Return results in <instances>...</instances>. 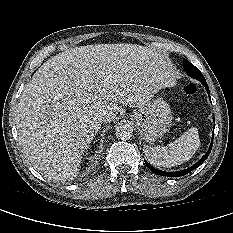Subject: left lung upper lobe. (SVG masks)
<instances>
[{
	"mask_svg": "<svg viewBox=\"0 0 233 233\" xmlns=\"http://www.w3.org/2000/svg\"><path fill=\"white\" fill-rule=\"evenodd\" d=\"M183 65L186 73L192 78H195L199 81L205 79L202 73L199 71V69L195 67L192 63H190L188 60L183 59Z\"/></svg>",
	"mask_w": 233,
	"mask_h": 233,
	"instance_id": "5c2ea615",
	"label": "left lung upper lobe"
}]
</instances>
